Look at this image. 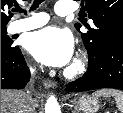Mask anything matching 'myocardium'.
<instances>
[{
    "instance_id": "myocardium-1",
    "label": "myocardium",
    "mask_w": 123,
    "mask_h": 113,
    "mask_svg": "<svg viewBox=\"0 0 123 113\" xmlns=\"http://www.w3.org/2000/svg\"><path fill=\"white\" fill-rule=\"evenodd\" d=\"M86 62L83 57L78 58L66 71L68 77H75L85 71Z\"/></svg>"
}]
</instances>
